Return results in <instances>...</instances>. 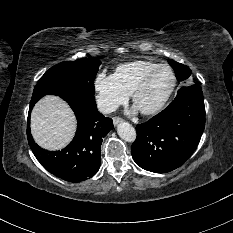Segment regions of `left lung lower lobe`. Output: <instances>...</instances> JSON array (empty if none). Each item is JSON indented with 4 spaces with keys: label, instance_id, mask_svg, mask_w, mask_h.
<instances>
[{
    "label": "left lung lower lobe",
    "instance_id": "1",
    "mask_svg": "<svg viewBox=\"0 0 233 233\" xmlns=\"http://www.w3.org/2000/svg\"><path fill=\"white\" fill-rule=\"evenodd\" d=\"M205 127V106L198 85L189 86L158 115L137 125L132 157L141 168L164 173L192 155Z\"/></svg>",
    "mask_w": 233,
    "mask_h": 233
}]
</instances>
